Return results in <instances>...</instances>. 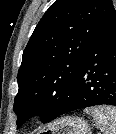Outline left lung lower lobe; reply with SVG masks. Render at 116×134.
Instances as JSON below:
<instances>
[{"label":"left lung lower lobe","mask_w":116,"mask_h":134,"mask_svg":"<svg viewBox=\"0 0 116 134\" xmlns=\"http://www.w3.org/2000/svg\"><path fill=\"white\" fill-rule=\"evenodd\" d=\"M116 106V12L98 30L76 79V88L51 120L86 107ZM50 120V121H51Z\"/></svg>","instance_id":"1"}]
</instances>
